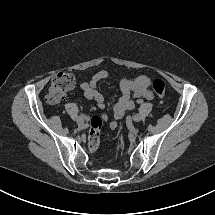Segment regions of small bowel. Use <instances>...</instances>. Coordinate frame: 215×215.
I'll return each mask as SVG.
<instances>
[{
	"mask_svg": "<svg viewBox=\"0 0 215 215\" xmlns=\"http://www.w3.org/2000/svg\"><path fill=\"white\" fill-rule=\"evenodd\" d=\"M110 76L107 70L96 72L89 81L82 82L79 86L83 95L96 103L98 108L102 109L105 106L104 97L98 91V84L101 81L108 79ZM150 79L146 76H138L135 78H126L120 81L121 97L113 108L114 120L109 123L111 129L118 127V120L122 119L125 113L133 108V98H145L151 100L154 98L153 92L149 88ZM106 120L107 116L104 115Z\"/></svg>",
	"mask_w": 215,
	"mask_h": 215,
	"instance_id": "c3829d8e",
	"label": "small bowel"
}]
</instances>
